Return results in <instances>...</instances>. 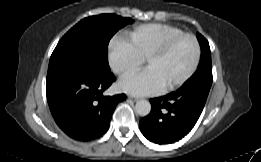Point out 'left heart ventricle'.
Segmentation results:
<instances>
[{"label": "left heart ventricle", "instance_id": "obj_1", "mask_svg": "<svg viewBox=\"0 0 261 162\" xmlns=\"http://www.w3.org/2000/svg\"><path fill=\"white\" fill-rule=\"evenodd\" d=\"M194 56V43L186 37L177 41L164 55L151 59L146 66L157 74L163 86H167L187 73Z\"/></svg>", "mask_w": 261, "mask_h": 162}]
</instances>
